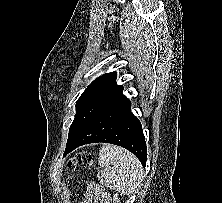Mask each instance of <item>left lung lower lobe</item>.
Here are the masks:
<instances>
[{
    "instance_id": "1",
    "label": "left lung lower lobe",
    "mask_w": 222,
    "mask_h": 203,
    "mask_svg": "<svg viewBox=\"0 0 222 203\" xmlns=\"http://www.w3.org/2000/svg\"><path fill=\"white\" fill-rule=\"evenodd\" d=\"M123 87L108 98L83 131L67 143L64 156L89 143H111L135 154L145 166L147 148L139 120L131 112L130 101L122 94Z\"/></svg>"
}]
</instances>
